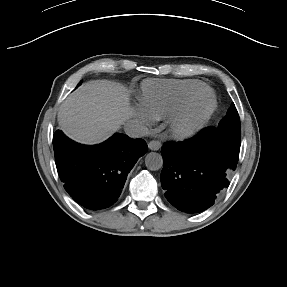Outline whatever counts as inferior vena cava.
I'll return each instance as SVG.
<instances>
[{"instance_id":"1","label":"inferior vena cava","mask_w":287,"mask_h":287,"mask_svg":"<svg viewBox=\"0 0 287 287\" xmlns=\"http://www.w3.org/2000/svg\"><path fill=\"white\" fill-rule=\"evenodd\" d=\"M124 131L131 138H140L149 134L147 126L142 121L136 119L128 120L124 125Z\"/></svg>"}]
</instances>
